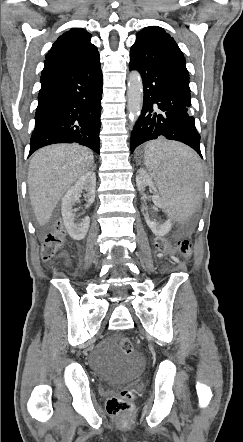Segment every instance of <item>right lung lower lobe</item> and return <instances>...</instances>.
<instances>
[{"label": "right lung lower lobe", "instance_id": "obj_1", "mask_svg": "<svg viewBox=\"0 0 243 442\" xmlns=\"http://www.w3.org/2000/svg\"><path fill=\"white\" fill-rule=\"evenodd\" d=\"M99 54L41 74L29 156L54 143H79L99 153L102 73Z\"/></svg>", "mask_w": 243, "mask_h": 442}]
</instances>
